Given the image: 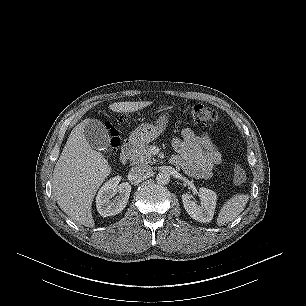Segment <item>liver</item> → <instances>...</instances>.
Returning <instances> with one entry per match:
<instances>
[{"label": "liver", "instance_id": "liver-1", "mask_svg": "<svg viewBox=\"0 0 306 306\" xmlns=\"http://www.w3.org/2000/svg\"><path fill=\"white\" fill-rule=\"evenodd\" d=\"M151 104L149 101L115 102L109 109L132 113ZM89 120L85 119L71 131L53 171L52 191L60 208L73 221L93 228L92 202L98 188L111 173V167L84 137V127Z\"/></svg>", "mask_w": 306, "mask_h": 306}]
</instances>
